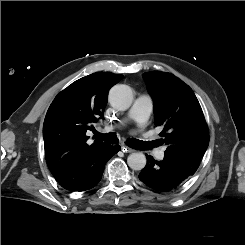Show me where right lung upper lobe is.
<instances>
[{
  "label": "right lung upper lobe",
  "instance_id": "right-lung-upper-lobe-1",
  "mask_svg": "<svg viewBox=\"0 0 245 245\" xmlns=\"http://www.w3.org/2000/svg\"><path fill=\"white\" fill-rule=\"evenodd\" d=\"M121 78L110 72L93 73L73 82L53 100L44 120L43 137L46 162L54 177L106 145L101 140L88 145L86 133L96 131L94 123L103 119L107 93Z\"/></svg>",
  "mask_w": 245,
  "mask_h": 245
}]
</instances>
